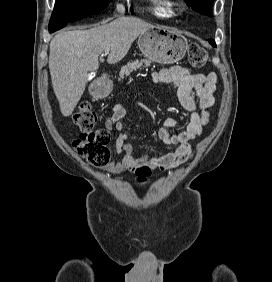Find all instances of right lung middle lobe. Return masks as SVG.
Segmentation results:
<instances>
[{"label": "right lung middle lobe", "instance_id": "1", "mask_svg": "<svg viewBox=\"0 0 272 282\" xmlns=\"http://www.w3.org/2000/svg\"><path fill=\"white\" fill-rule=\"evenodd\" d=\"M111 0H56L49 25L92 15L104 10Z\"/></svg>", "mask_w": 272, "mask_h": 282}]
</instances>
